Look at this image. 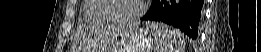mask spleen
I'll return each mask as SVG.
<instances>
[{
	"label": "spleen",
	"instance_id": "1",
	"mask_svg": "<svg viewBox=\"0 0 261 52\" xmlns=\"http://www.w3.org/2000/svg\"><path fill=\"white\" fill-rule=\"evenodd\" d=\"M146 27L153 37L155 52H183L185 38L180 31L155 22H148Z\"/></svg>",
	"mask_w": 261,
	"mask_h": 52
}]
</instances>
